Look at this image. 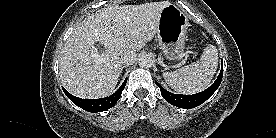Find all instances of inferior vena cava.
I'll return each instance as SVG.
<instances>
[{
    "label": "inferior vena cava",
    "mask_w": 276,
    "mask_h": 138,
    "mask_svg": "<svg viewBox=\"0 0 276 138\" xmlns=\"http://www.w3.org/2000/svg\"><path fill=\"white\" fill-rule=\"evenodd\" d=\"M136 60V53L134 52H125L121 55L120 61L122 64L132 65Z\"/></svg>",
    "instance_id": "602c4592"
}]
</instances>
